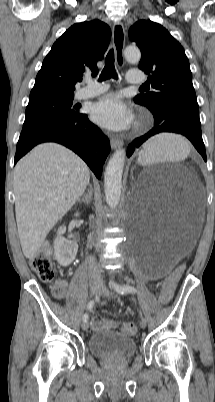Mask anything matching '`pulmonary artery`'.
I'll return each instance as SVG.
<instances>
[{
  "label": "pulmonary artery",
  "instance_id": "1",
  "mask_svg": "<svg viewBox=\"0 0 215 402\" xmlns=\"http://www.w3.org/2000/svg\"><path fill=\"white\" fill-rule=\"evenodd\" d=\"M126 78L127 81L131 84H141L145 81L144 75L140 71L135 70L129 71ZM85 82L87 85L78 90L76 93V98L79 100L96 97L104 93L108 89V86L106 84L97 83L90 78H87Z\"/></svg>",
  "mask_w": 215,
  "mask_h": 402
}]
</instances>
